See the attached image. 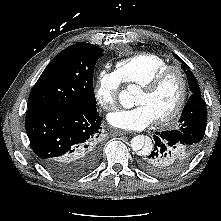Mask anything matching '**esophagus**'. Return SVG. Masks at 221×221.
<instances>
[{
  "label": "esophagus",
  "instance_id": "obj_1",
  "mask_svg": "<svg viewBox=\"0 0 221 221\" xmlns=\"http://www.w3.org/2000/svg\"><path fill=\"white\" fill-rule=\"evenodd\" d=\"M126 134H127V132L121 131V130H117V131L113 132L114 136H122V135H126Z\"/></svg>",
  "mask_w": 221,
  "mask_h": 221
}]
</instances>
